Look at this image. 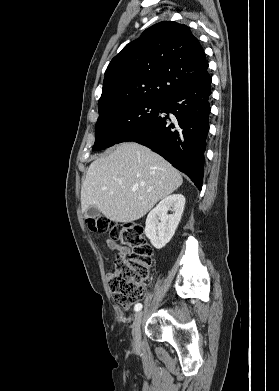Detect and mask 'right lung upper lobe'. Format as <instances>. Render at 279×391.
<instances>
[{
	"instance_id": "obj_1",
	"label": "right lung upper lobe",
	"mask_w": 279,
	"mask_h": 391,
	"mask_svg": "<svg viewBox=\"0 0 279 391\" xmlns=\"http://www.w3.org/2000/svg\"><path fill=\"white\" fill-rule=\"evenodd\" d=\"M207 68L204 50L186 25L157 23L127 44L108 65L99 114L138 100L164 102L198 80Z\"/></svg>"
}]
</instances>
